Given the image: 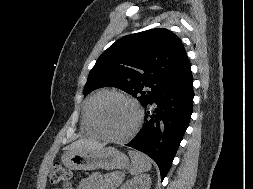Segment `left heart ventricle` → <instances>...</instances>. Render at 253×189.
I'll list each match as a JSON object with an SVG mask.
<instances>
[{"label":"left heart ventricle","instance_id":"1","mask_svg":"<svg viewBox=\"0 0 253 189\" xmlns=\"http://www.w3.org/2000/svg\"><path fill=\"white\" fill-rule=\"evenodd\" d=\"M97 116L105 130L114 136L127 134L136 122L135 109L117 97L102 99L97 106Z\"/></svg>","mask_w":253,"mask_h":189}]
</instances>
